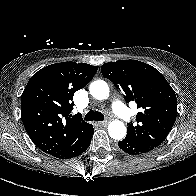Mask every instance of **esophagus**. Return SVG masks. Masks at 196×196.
Segmentation results:
<instances>
[{
	"mask_svg": "<svg viewBox=\"0 0 196 196\" xmlns=\"http://www.w3.org/2000/svg\"><path fill=\"white\" fill-rule=\"evenodd\" d=\"M107 124H108V121L107 120L106 121L99 122V125H102V126H105Z\"/></svg>",
	"mask_w": 196,
	"mask_h": 196,
	"instance_id": "esophagus-1",
	"label": "esophagus"
}]
</instances>
